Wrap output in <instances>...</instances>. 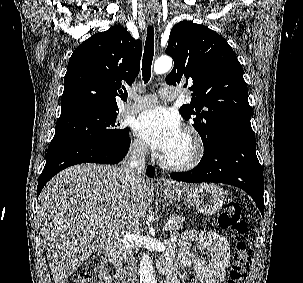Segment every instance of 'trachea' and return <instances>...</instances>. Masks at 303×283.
<instances>
[{
    "mask_svg": "<svg viewBox=\"0 0 303 283\" xmlns=\"http://www.w3.org/2000/svg\"><path fill=\"white\" fill-rule=\"evenodd\" d=\"M154 56V29L153 26H148L146 43L142 60V75L143 80L147 83L151 78V65Z\"/></svg>",
    "mask_w": 303,
    "mask_h": 283,
    "instance_id": "1",
    "label": "trachea"
}]
</instances>
